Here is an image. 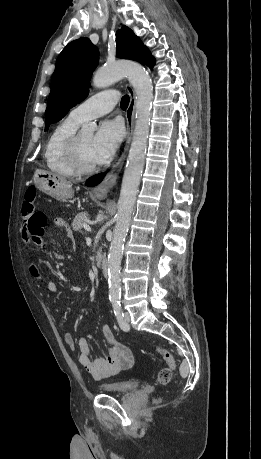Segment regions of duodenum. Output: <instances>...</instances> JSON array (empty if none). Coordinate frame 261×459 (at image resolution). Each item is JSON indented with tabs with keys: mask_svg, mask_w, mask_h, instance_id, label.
I'll return each instance as SVG.
<instances>
[{
	"mask_svg": "<svg viewBox=\"0 0 261 459\" xmlns=\"http://www.w3.org/2000/svg\"><path fill=\"white\" fill-rule=\"evenodd\" d=\"M99 265L102 269V272L104 274L105 277H108V263L107 261L103 258L99 261Z\"/></svg>",
	"mask_w": 261,
	"mask_h": 459,
	"instance_id": "obj_1",
	"label": "duodenum"
}]
</instances>
